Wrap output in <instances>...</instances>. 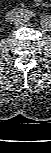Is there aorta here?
Listing matches in <instances>:
<instances>
[{"label":"aorta","mask_w":51,"mask_h":153,"mask_svg":"<svg viewBox=\"0 0 51 153\" xmlns=\"http://www.w3.org/2000/svg\"><path fill=\"white\" fill-rule=\"evenodd\" d=\"M40 25L44 30L51 31V17L49 15L42 17Z\"/></svg>","instance_id":"aorta-1"}]
</instances>
